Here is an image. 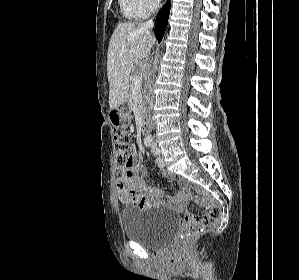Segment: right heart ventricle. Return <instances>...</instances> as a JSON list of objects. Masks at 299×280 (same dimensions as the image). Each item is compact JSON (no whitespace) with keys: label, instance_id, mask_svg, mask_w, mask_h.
<instances>
[{"label":"right heart ventricle","instance_id":"e07e8e85","mask_svg":"<svg viewBox=\"0 0 299 280\" xmlns=\"http://www.w3.org/2000/svg\"><path fill=\"white\" fill-rule=\"evenodd\" d=\"M119 4L122 14L128 19L138 20L146 16L138 0H119Z\"/></svg>","mask_w":299,"mask_h":280}]
</instances>
